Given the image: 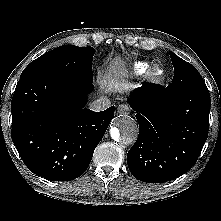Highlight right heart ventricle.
Listing matches in <instances>:
<instances>
[{
    "label": "right heart ventricle",
    "instance_id": "1",
    "mask_svg": "<svg viewBox=\"0 0 221 221\" xmlns=\"http://www.w3.org/2000/svg\"><path fill=\"white\" fill-rule=\"evenodd\" d=\"M151 67V63L147 61H138L132 65V72L136 76H141L145 74L149 68Z\"/></svg>",
    "mask_w": 221,
    "mask_h": 221
}]
</instances>
